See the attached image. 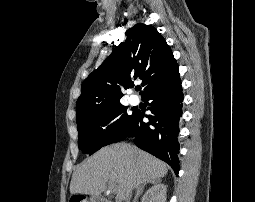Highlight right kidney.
<instances>
[{
	"label": "right kidney",
	"mask_w": 255,
	"mask_h": 202,
	"mask_svg": "<svg viewBox=\"0 0 255 202\" xmlns=\"http://www.w3.org/2000/svg\"><path fill=\"white\" fill-rule=\"evenodd\" d=\"M166 191V185L159 182L145 193L142 202H166Z\"/></svg>",
	"instance_id": "ca27d5eb"
}]
</instances>
